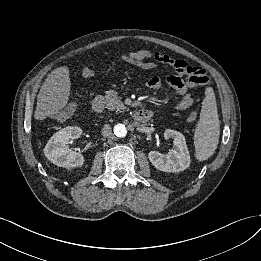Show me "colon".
I'll return each instance as SVG.
<instances>
[{
  "instance_id": "5ec220e1",
  "label": "colon",
  "mask_w": 261,
  "mask_h": 261,
  "mask_svg": "<svg viewBox=\"0 0 261 261\" xmlns=\"http://www.w3.org/2000/svg\"><path fill=\"white\" fill-rule=\"evenodd\" d=\"M170 66L180 77L186 79L189 84L195 87L205 86L211 83V78L207 75L206 71L199 66L191 65L182 59H173ZM145 67L150 68L152 67V64L150 62H146ZM79 108L80 102L74 98L63 107L51 111L49 116L53 119L62 121L76 113ZM195 117L196 114H192L190 119L193 120Z\"/></svg>"
}]
</instances>
